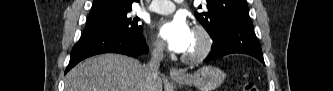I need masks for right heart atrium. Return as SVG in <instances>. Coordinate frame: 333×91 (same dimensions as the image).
Returning <instances> with one entry per match:
<instances>
[{
    "mask_svg": "<svg viewBox=\"0 0 333 91\" xmlns=\"http://www.w3.org/2000/svg\"><path fill=\"white\" fill-rule=\"evenodd\" d=\"M151 51H152V54L155 56V57H162L163 56V53H164V50H163V47L161 44H159L158 42H153L152 43V46H151Z\"/></svg>",
    "mask_w": 333,
    "mask_h": 91,
    "instance_id": "d8ad5b80",
    "label": "right heart atrium"
}]
</instances>
